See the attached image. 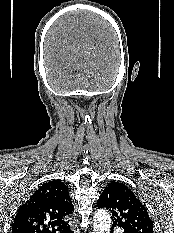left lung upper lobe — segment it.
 <instances>
[{
	"label": "left lung upper lobe",
	"mask_w": 174,
	"mask_h": 233,
	"mask_svg": "<svg viewBox=\"0 0 174 233\" xmlns=\"http://www.w3.org/2000/svg\"><path fill=\"white\" fill-rule=\"evenodd\" d=\"M98 208L108 209L113 216V227L124 233H153V222L145 207L124 184L109 183L97 201Z\"/></svg>",
	"instance_id": "obj_1"
}]
</instances>
